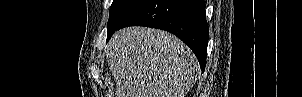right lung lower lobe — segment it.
<instances>
[{
  "mask_svg": "<svg viewBox=\"0 0 302 97\" xmlns=\"http://www.w3.org/2000/svg\"><path fill=\"white\" fill-rule=\"evenodd\" d=\"M127 26H147L173 33L192 49L204 71L209 39L204 0H145L116 30Z\"/></svg>",
  "mask_w": 302,
  "mask_h": 97,
  "instance_id": "1",
  "label": "right lung lower lobe"
}]
</instances>
